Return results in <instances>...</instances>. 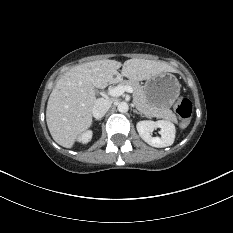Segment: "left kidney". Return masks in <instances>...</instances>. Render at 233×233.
<instances>
[{"instance_id": "5707ae66", "label": "left kidney", "mask_w": 233, "mask_h": 233, "mask_svg": "<svg viewBox=\"0 0 233 233\" xmlns=\"http://www.w3.org/2000/svg\"><path fill=\"white\" fill-rule=\"evenodd\" d=\"M140 137L149 145L157 148L167 147L173 144L176 129L173 123L165 120H143L136 125ZM160 128L161 137H152L154 129Z\"/></svg>"}]
</instances>
